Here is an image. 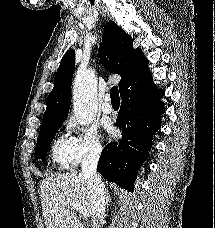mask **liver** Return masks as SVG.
Listing matches in <instances>:
<instances>
[{"mask_svg": "<svg viewBox=\"0 0 215 228\" xmlns=\"http://www.w3.org/2000/svg\"><path fill=\"white\" fill-rule=\"evenodd\" d=\"M42 214L46 228H84L68 200L76 202L92 216V190L82 174L68 172L47 176L40 186Z\"/></svg>", "mask_w": 215, "mask_h": 228, "instance_id": "6515ba94", "label": "liver"}]
</instances>
